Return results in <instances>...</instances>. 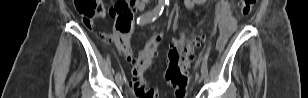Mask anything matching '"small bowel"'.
<instances>
[{
  "label": "small bowel",
  "instance_id": "c3829d8e",
  "mask_svg": "<svg viewBox=\"0 0 308 98\" xmlns=\"http://www.w3.org/2000/svg\"><path fill=\"white\" fill-rule=\"evenodd\" d=\"M203 2H204V0H185L184 1L186 7L189 8V9H192V8L195 7L196 4L203 3ZM146 4H147L146 0L136 1L134 3L133 8L136 9V10H143L145 8ZM228 37H229V29L227 27H221L220 28V36H219L218 41H217V49L219 51H222L224 49L225 44L228 40Z\"/></svg>",
  "mask_w": 308,
  "mask_h": 98
}]
</instances>
